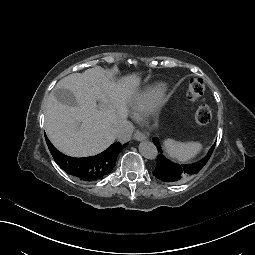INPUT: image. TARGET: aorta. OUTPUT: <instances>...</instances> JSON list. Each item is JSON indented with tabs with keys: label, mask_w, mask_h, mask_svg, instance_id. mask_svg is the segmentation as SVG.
<instances>
[{
	"label": "aorta",
	"mask_w": 255,
	"mask_h": 255,
	"mask_svg": "<svg viewBox=\"0 0 255 255\" xmlns=\"http://www.w3.org/2000/svg\"><path fill=\"white\" fill-rule=\"evenodd\" d=\"M139 151L143 157L150 160L155 159L158 155L156 146L150 141H142L139 144Z\"/></svg>",
	"instance_id": "aorta-1"
}]
</instances>
